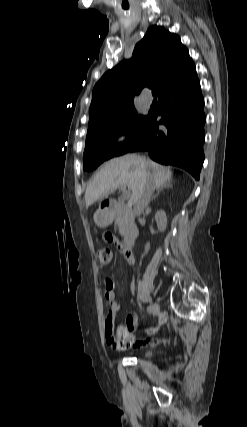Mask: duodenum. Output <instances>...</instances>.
<instances>
[{
  "mask_svg": "<svg viewBox=\"0 0 247 427\" xmlns=\"http://www.w3.org/2000/svg\"><path fill=\"white\" fill-rule=\"evenodd\" d=\"M103 211L108 216H113L115 214H125L129 217H132V209L123 203H120L118 201H106L104 202ZM139 231L137 226L131 222L127 228V231L123 237V246L126 248H130L134 245L137 237H138Z\"/></svg>",
  "mask_w": 247,
  "mask_h": 427,
  "instance_id": "obj_1",
  "label": "duodenum"
}]
</instances>
